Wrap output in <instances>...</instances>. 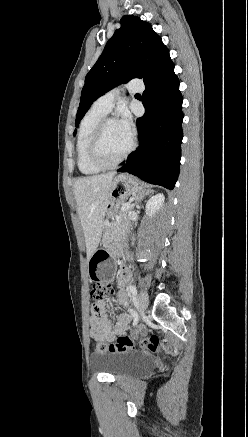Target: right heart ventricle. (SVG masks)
I'll return each instance as SVG.
<instances>
[{
	"mask_svg": "<svg viewBox=\"0 0 248 437\" xmlns=\"http://www.w3.org/2000/svg\"><path fill=\"white\" fill-rule=\"evenodd\" d=\"M105 116L106 113L92 107L80 122L76 139V153L79 171L84 175H94L101 171L90 160L89 143L97 124Z\"/></svg>",
	"mask_w": 248,
	"mask_h": 437,
	"instance_id": "right-heart-ventricle-1",
	"label": "right heart ventricle"
}]
</instances>
